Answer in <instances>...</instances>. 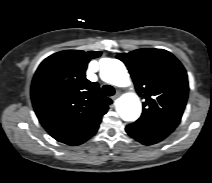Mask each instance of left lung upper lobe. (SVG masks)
Segmentation results:
<instances>
[{
  "mask_svg": "<svg viewBox=\"0 0 212 183\" xmlns=\"http://www.w3.org/2000/svg\"><path fill=\"white\" fill-rule=\"evenodd\" d=\"M139 96L143 113L135 122L171 133L179 124L188 97L187 74L179 60L163 49L143 48L120 53Z\"/></svg>",
  "mask_w": 212,
  "mask_h": 183,
  "instance_id": "1",
  "label": "left lung upper lobe"
}]
</instances>
